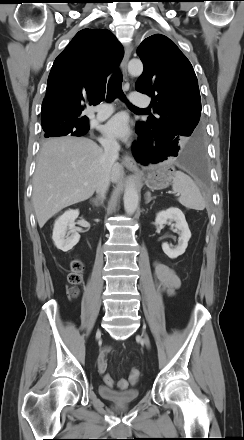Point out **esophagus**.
I'll use <instances>...</instances> for the list:
<instances>
[{
    "instance_id": "1",
    "label": "esophagus",
    "mask_w": 244,
    "mask_h": 440,
    "mask_svg": "<svg viewBox=\"0 0 244 440\" xmlns=\"http://www.w3.org/2000/svg\"><path fill=\"white\" fill-rule=\"evenodd\" d=\"M132 50H133L132 44L129 43L125 46L124 57L121 62V70H122V74L124 77L127 76V65H128V61L131 56ZM122 163L124 166L129 167V168H133V169L138 168L135 160L127 154L122 156Z\"/></svg>"
}]
</instances>
